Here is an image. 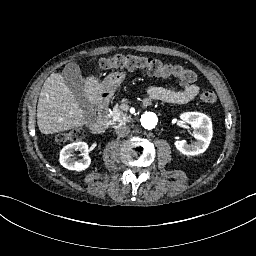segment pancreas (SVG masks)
I'll return each instance as SVG.
<instances>
[{"label":"pancreas","instance_id":"pancreas-1","mask_svg":"<svg viewBox=\"0 0 256 256\" xmlns=\"http://www.w3.org/2000/svg\"><path fill=\"white\" fill-rule=\"evenodd\" d=\"M128 110L129 105L126 103V100H123L120 106H115L113 108L112 114H110V122L113 128H116L130 121V117L127 114Z\"/></svg>","mask_w":256,"mask_h":256}]
</instances>
